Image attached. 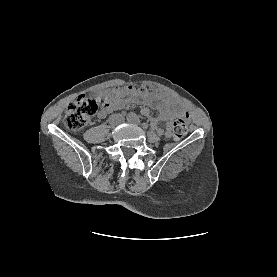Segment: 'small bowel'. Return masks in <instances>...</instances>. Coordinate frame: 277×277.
I'll return each instance as SVG.
<instances>
[{
  "mask_svg": "<svg viewBox=\"0 0 277 277\" xmlns=\"http://www.w3.org/2000/svg\"><path fill=\"white\" fill-rule=\"evenodd\" d=\"M127 96L146 104L141 110L143 115L149 116L148 106L159 112L158 118H150L151 125L158 134L163 133V130L159 127L160 121L167 122L165 135L170 136L171 122L178 114H181L186 120L189 119V114L181 111L173 95L158 90L135 89L132 86L103 91L100 94L102 106L98 112V117L105 118L110 112L124 108L129 103V100L126 99Z\"/></svg>",
  "mask_w": 277,
  "mask_h": 277,
  "instance_id": "obj_1",
  "label": "small bowel"
}]
</instances>
